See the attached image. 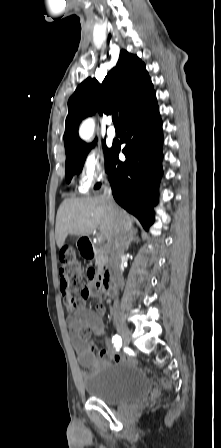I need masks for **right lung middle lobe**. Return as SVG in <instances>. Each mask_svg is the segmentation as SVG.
<instances>
[{"instance_id": "dd1d6c3e", "label": "right lung middle lobe", "mask_w": 221, "mask_h": 448, "mask_svg": "<svg viewBox=\"0 0 221 448\" xmlns=\"http://www.w3.org/2000/svg\"><path fill=\"white\" fill-rule=\"evenodd\" d=\"M96 141H94L92 144H89L86 148H84L80 153L72 155L70 157L66 158V180L69 183L73 177L74 174H79L82 170L84 161L86 159V156L91 148L95 146ZM104 154H105V164L109 158L110 152L112 150L108 149L104 144Z\"/></svg>"}]
</instances>
